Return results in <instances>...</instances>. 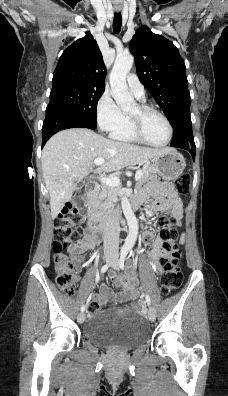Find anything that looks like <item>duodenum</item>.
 Returning <instances> with one entry per match:
<instances>
[{"label": "duodenum", "instance_id": "1", "mask_svg": "<svg viewBox=\"0 0 228 396\" xmlns=\"http://www.w3.org/2000/svg\"><path fill=\"white\" fill-rule=\"evenodd\" d=\"M94 191V187L89 185L86 189V194L88 196H91L93 194ZM134 208H138L139 205L138 204H133ZM90 227L93 231H95L98 234H105V233H109V234H113L116 235L117 234V228L114 226H108L107 221L104 218L101 217H93L90 222Z\"/></svg>", "mask_w": 228, "mask_h": 396}]
</instances>
